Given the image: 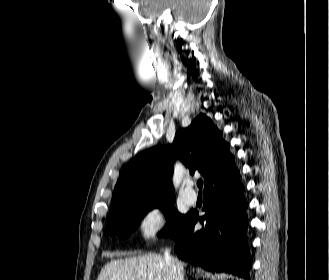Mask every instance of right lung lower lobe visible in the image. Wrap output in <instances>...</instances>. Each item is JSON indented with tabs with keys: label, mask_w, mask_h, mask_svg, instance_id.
Segmentation results:
<instances>
[{
	"label": "right lung lower lobe",
	"mask_w": 329,
	"mask_h": 280,
	"mask_svg": "<svg viewBox=\"0 0 329 280\" xmlns=\"http://www.w3.org/2000/svg\"><path fill=\"white\" fill-rule=\"evenodd\" d=\"M234 165L204 189L205 215L191 211L172 236L178 257L211 271H225L249 280V259L244 209V186ZM200 220L203 228L194 230Z\"/></svg>",
	"instance_id": "1"
}]
</instances>
